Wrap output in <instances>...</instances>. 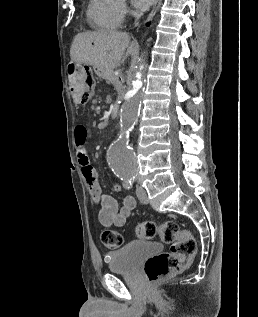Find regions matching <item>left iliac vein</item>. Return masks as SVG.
<instances>
[{"mask_svg":"<svg viewBox=\"0 0 258 317\" xmlns=\"http://www.w3.org/2000/svg\"><path fill=\"white\" fill-rule=\"evenodd\" d=\"M136 194L137 196L140 198V202H143V204L145 205L146 203H148V198L146 197V191L144 188H141V184H136Z\"/></svg>","mask_w":258,"mask_h":317,"instance_id":"obj_1","label":"left iliac vein"}]
</instances>
